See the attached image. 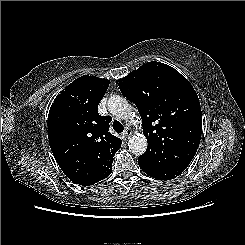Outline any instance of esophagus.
Listing matches in <instances>:
<instances>
[{
	"mask_svg": "<svg viewBox=\"0 0 245 245\" xmlns=\"http://www.w3.org/2000/svg\"><path fill=\"white\" fill-rule=\"evenodd\" d=\"M123 137L125 139L129 138L132 135V131L130 128L126 127V129L124 130V132L122 133Z\"/></svg>",
	"mask_w": 245,
	"mask_h": 245,
	"instance_id": "obj_1",
	"label": "esophagus"
}]
</instances>
